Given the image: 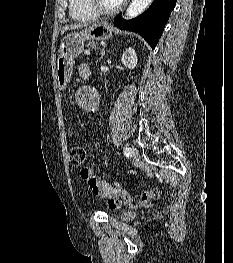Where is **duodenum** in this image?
<instances>
[{
    "instance_id": "410a0bca",
    "label": "duodenum",
    "mask_w": 233,
    "mask_h": 263,
    "mask_svg": "<svg viewBox=\"0 0 233 263\" xmlns=\"http://www.w3.org/2000/svg\"><path fill=\"white\" fill-rule=\"evenodd\" d=\"M89 76H90V72H85V73L82 74L81 77H82L83 79H88Z\"/></svg>"
}]
</instances>
